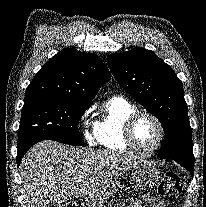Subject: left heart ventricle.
I'll list each match as a JSON object with an SVG mask.
<instances>
[{
    "label": "left heart ventricle",
    "instance_id": "obj_1",
    "mask_svg": "<svg viewBox=\"0 0 206 207\" xmlns=\"http://www.w3.org/2000/svg\"><path fill=\"white\" fill-rule=\"evenodd\" d=\"M133 136L135 144L140 149L149 150L157 143L159 130L152 119L148 117H142L134 126Z\"/></svg>",
    "mask_w": 206,
    "mask_h": 207
}]
</instances>
